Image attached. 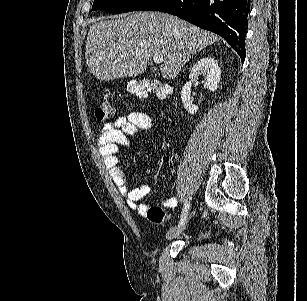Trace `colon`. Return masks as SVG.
Wrapping results in <instances>:
<instances>
[{
	"label": "colon",
	"instance_id": "obj_1",
	"mask_svg": "<svg viewBox=\"0 0 307 301\" xmlns=\"http://www.w3.org/2000/svg\"><path fill=\"white\" fill-rule=\"evenodd\" d=\"M127 91L137 99H144L150 92L155 93L160 98H165L170 94V88L158 80H139L130 82ZM114 115L113 104L108 97H105L95 108L97 120L104 121ZM149 221L155 224H163L169 219V215L158 206H151L146 212Z\"/></svg>",
	"mask_w": 307,
	"mask_h": 301
}]
</instances>
